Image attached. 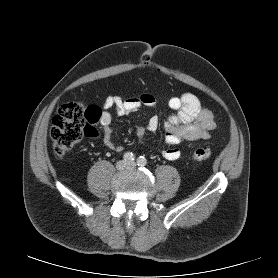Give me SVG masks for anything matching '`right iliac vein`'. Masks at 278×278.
I'll return each mask as SVG.
<instances>
[{
    "mask_svg": "<svg viewBox=\"0 0 278 278\" xmlns=\"http://www.w3.org/2000/svg\"><path fill=\"white\" fill-rule=\"evenodd\" d=\"M127 167H128V164L124 160L118 161L116 163V168L120 171L126 169Z\"/></svg>",
    "mask_w": 278,
    "mask_h": 278,
    "instance_id": "63e3f726",
    "label": "right iliac vein"
}]
</instances>
